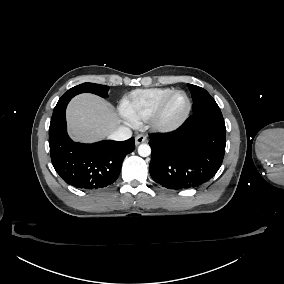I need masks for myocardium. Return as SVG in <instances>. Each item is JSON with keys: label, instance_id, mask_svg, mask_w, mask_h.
Returning a JSON list of instances; mask_svg holds the SVG:
<instances>
[{"label": "myocardium", "instance_id": "f54148a6", "mask_svg": "<svg viewBox=\"0 0 284 284\" xmlns=\"http://www.w3.org/2000/svg\"><path fill=\"white\" fill-rule=\"evenodd\" d=\"M178 92H183L185 93L187 97V109L183 115V117L178 120L176 123L169 125V126H164L159 122V119L161 115L164 112V109L166 107V104L168 100ZM192 110V100L190 98V95L183 89H174L168 94H166L157 104L155 109L152 111V113L149 115V117L146 120L148 128L155 134H161V135H167V134H172L176 131H178L188 120L190 113Z\"/></svg>", "mask_w": 284, "mask_h": 284}]
</instances>
